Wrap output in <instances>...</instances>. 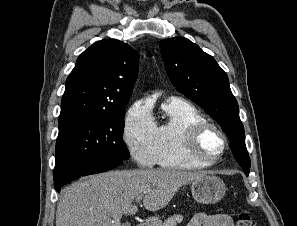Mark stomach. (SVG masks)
<instances>
[{
    "instance_id": "1",
    "label": "stomach",
    "mask_w": 297,
    "mask_h": 226,
    "mask_svg": "<svg viewBox=\"0 0 297 226\" xmlns=\"http://www.w3.org/2000/svg\"><path fill=\"white\" fill-rule=\"evenodd\" d=\"M192 196L201 204H214L219 202L225 195V184L217 176L206 175L201 179L191 182ZM149 226H162L158 219H151Z\"/></svg>"
}]
</instances>
